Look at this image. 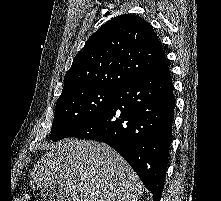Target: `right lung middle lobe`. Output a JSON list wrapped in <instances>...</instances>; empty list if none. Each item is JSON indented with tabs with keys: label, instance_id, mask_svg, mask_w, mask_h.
<instances>
[{
	"label": "right lung middle lobe",
	"instance_id": "right-lung-middle-lobe-1",
	"mask_svg": "<svg viewBox=\"0 0 221 201\" xmlns=\"http://www.w3.org/2000/svg\"><path fill=\"white\" fill-rule=\"evenodd\" d=\"M116 90L90 88L68 93L56 102L51 140L68 137L74 130L102 111L113 99Z\"/></svg>",
	"mask_w": 221,
	"mask_h": 201
}]
</instances>
